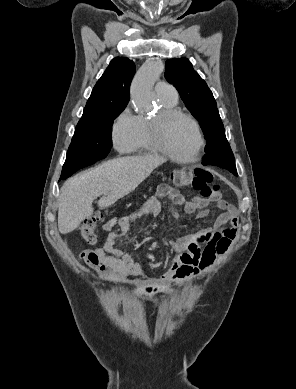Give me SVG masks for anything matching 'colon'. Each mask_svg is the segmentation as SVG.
Listing matches in <instances>:
<instances>
[{
    "label": "colon",
    "instance_id": "obj_1",
    "mask_svg": "<svg viewBox=\"0 0 296 389\" xmlns=\"http://www.w3.org/2000/svg\"><path fill=\"white\" fill-rule=\"evenodd\" d=\"M172 182L178 187H193L204 199H214L218 197L219 187L213 184L212 174L201 168H180L172 174ZM102 218L103 214L97 213L82 222L78 227V231L83 240L89 244H94L96 242V231Z\"/></svg>",
    "mask_w": 296,
    "mask_h": 389
}]
</instances>
